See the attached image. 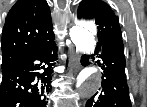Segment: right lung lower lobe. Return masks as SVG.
Segmentation results:
<instances>
[{
  "label": "right lung lower lobe",
  "instance_id": "98d812e1",
  "mask_svg": "<svg viewBox=\"0 0 147 107\" xmlns=\"http://www.w3.org/2000/svg\"><path fill=\"white\" fill-rule=\"evenodd\" d=\"M57 59L55 37L32 48L2 68L0 107H47L52 66Z\"/></svg>",
  "mask_w": 147,
  "mask_h": 107
}]
</instances>
